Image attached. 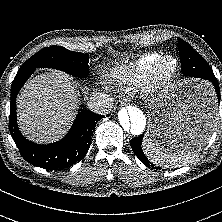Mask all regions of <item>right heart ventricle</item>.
Returning a JSON list of instances; mask_svg holds the SVG:
<instances>
[{"label":"right heart ventricle","mask_w":222,"mask_h":222,"mask_svg":"<svg viewBox=\"0 0 222 222\" xmlns=\"http://www.w3.org/2000/svg\"><path fill=\"white\" fill-rule=\"evenodd\" d=\"M162 56L159 52L143 54L129 66L116 71L114 76L129 82L144 81L148 78L154 63Z\"/></svg>","instance_id":"obj_1"}]
</instances>
